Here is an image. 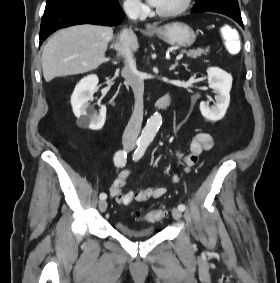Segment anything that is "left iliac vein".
<instances>
[{
    "instance_id": "4c4485c4",
    "label": "left iliac vein",
    "mask_w": 280,
    "mask_h": 283,
    "mask_svg": "<svg viewBox=\"0 0 280 283\" xmlns=\"http://www.w3.org/2000/svg\"><path fill=\"white\" fill-rule=\"evenodd\" d=\"M171 212L175 220L180 221L182 219V211L178 208H172Z\"/></svg>"
}]
</instances>
